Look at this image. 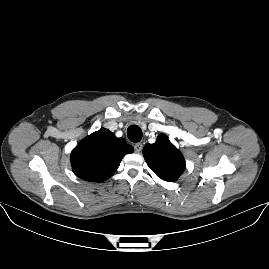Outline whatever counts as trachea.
Returning <instances> with one entry per match:
<instances>
[{
	"instance_id": "3493384b",
	"label": "trachea",
	"mask_w": 269,
	"mask_h": 269,
	"mask_svg": "<svg viewBox=\"0 0 269 269\" xmlns=\"http://www.w3.org/2000/svg\"><path fill=\"white\" fill-rule=\"evenodd\" d=\"M128 138L132 142H139L142 139V130L139 126L137 125H131L128 127L127 130Z\"/></svg>"
}]
</instances>
